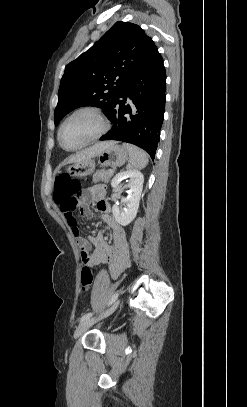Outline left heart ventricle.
<instances>
[{
    "mask_svg": "<svg viewBox=\"0 0 247 407\" xmlns=\"http://www.w3.org/2000/svg\"><path fill=\"white\" fill-rule=\"evenodd\" d=\"M99 121L91 114L81 113L69 119L61 132V143L65 148H75L93 137L100 130Z\"/></svg>",
    "mask_w": 247,
    "mask_h": 407,
    "instance_id": "left-heart-ventricle-1",
    "label": "left heart ventricle"
}]
</instances>
